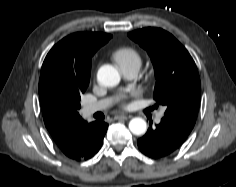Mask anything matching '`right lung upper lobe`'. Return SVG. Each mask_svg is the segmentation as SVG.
I'll return each mask as SVG.
<instances>
[{
    "label": "right lung upper lobe",
    "instance_id": "obj_1",
    "mask_svg": "<svg viewBox=\"0 0 236 187\" xmlns=\"http://www.w3.org/2000/svg\"><path fill=\"white\" fill-rule=\"evenodd\" d=\"M112 36L100 32H78L59 41L47 54L40 74L39 98L46 128L62 152L74 159L80 152L82 136L89 123L77 111L52 104L46 94V82L53 74L89 82L91 58Z\"/></svg>",
    "mask_w": 236,
    "mask_h": 187
}]
</instances>
